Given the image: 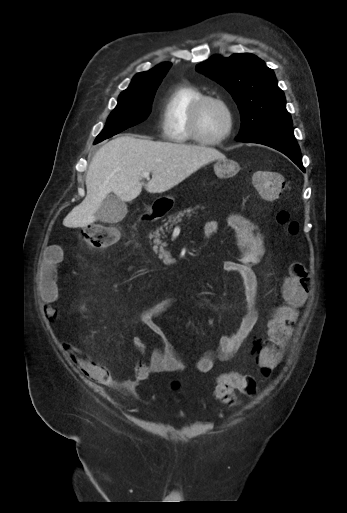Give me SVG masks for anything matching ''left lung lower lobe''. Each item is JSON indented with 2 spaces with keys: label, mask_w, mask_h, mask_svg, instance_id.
I'll use <instances>...</instances> for the list:
<instances>
[{
  "label": "left lung lower lobe",
  "mask_w": 347,
  "mask_h": 513,
  "mask_svg": "<svg viewBox=\"0 0 347 513\" xmlns=\"http://www.w3.org/2000/svg\"><path fill=\"white\" fill-rule=\"evenodd\" d=\"M243 142L258 143L274 148L288 156L303 172L300 148L296 142L292 126L266 130Z\"/></svg>",
  "instance_id": "1"
}]
</instances>
